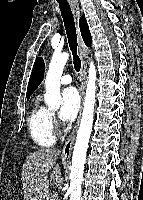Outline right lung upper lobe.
<instances>
[{
    "mask_svg": "<svg viewBox=\"0 0 143 200\" xmlns=\"http://www.w3.org/2000/svg\"><path fill=\"white\" fill-rule=\"evenodd\" d=\"M79 26H80L82 38L85 44L89 46L91 44L92 38H91V34L89 31L86 19L83 16L79 20ZM44 69H45L44 60L41 57L37 58L33 66L28 88H27V94H26L27 99L30 98L34 90L42 82L43 76H44Z\"/></svg>",
    "mask_w": 143,
    "mask_h": 200,
    "instance_id": "right-lung-upper-lobe-1",
    "label": "right lung upper lobe"
}]
</instances>
